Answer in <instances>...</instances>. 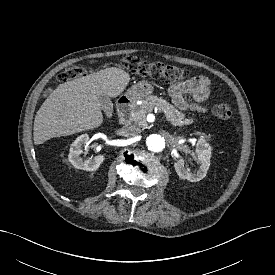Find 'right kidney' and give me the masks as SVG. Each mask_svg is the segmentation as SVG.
Instances as JSON below:
<instances>
[{"label": "right kidney", "mask_w": 275, "mask_h": 275, "mask_svg": "<svg viewBox=\"0 0 275 275\" xmlns=\"http://www.w3.org/2000/svg\"><path fill=\"white\" fill-rule=\"evenodd\" d=\"M89 143V136L82 134L79 136L70 147V153L68 155L69 162L77 169L86 171H95L99 168L101 163L105 160V156L100 154L94 158L84 160L80 155L82 153L83 146Z\"/></svg>", "instance_id": "obj_1"}]
</instances>
